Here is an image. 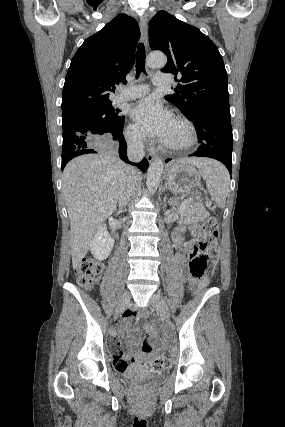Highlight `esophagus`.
I'll return each instance as SVG.
<instances>
[{
	"label": "esophagus",
	"instance_id": "34e87169",
	"mask_svg": "<svg viewBox=\"0 0 285 427\" xmlns=\"http://www.w3.org/2000/svg\"><path fill=\"white\" fill-rule=\"evenodd\" d=\"M139 26H140L142 41L147 46V21L144 17L140 18ZM155 158H156V155L154 153L147 154V160L149 162H152Z\"/></svg>",
	"mask_w": 285,
	"mask_h": 427
}]
</instances>
